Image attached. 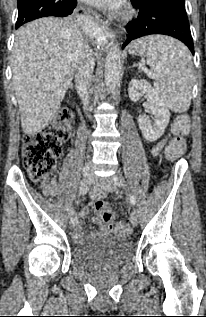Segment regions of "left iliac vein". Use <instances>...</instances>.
<instances>
[{
  "mask_svg": "<svg viewBox=\"0 0 206 317\" xmlns=\"http://www.w3.org/2000/svg\"><path fill=\"white\" fill-rule=\"evenodd\" d=\"M94 183L101 188H103L107 192H114L116 190V183L112 178H101V177H95ZM130 222L133 226H136L138 223V216L136 211L132 210L130 212Z\"/></svg>",
  "mask_w": 206,
  "mask_h": 317,
  "instance_id": "left-iliac-vein-1",
  "label": "left iliac vein"
}]
</instances>
